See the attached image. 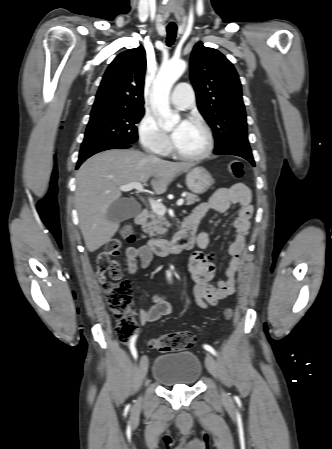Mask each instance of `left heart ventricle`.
Listing matches in <instances>:
<instances>
[{
    "mask_svg": "<svg viewBox=\"0 0 332 449\" xmlns=\"http://www.w3.org/2000/svg\"><path fill=\"white\" fill-rule=\"evenodd\" d=\"M174 144L178 150L184 153L196 154L205 148L206 137L199 126L188 123Z\"/></svg>",
    "mask_w": 332,
    "mask_h": 449,
    "instance_id": "obj_1",
    "label": "left heart ventricle"
}]
</instances>
